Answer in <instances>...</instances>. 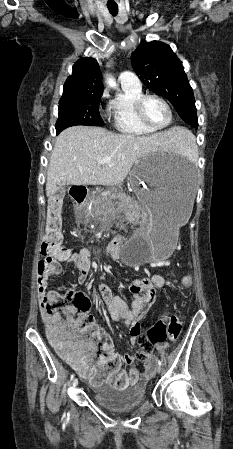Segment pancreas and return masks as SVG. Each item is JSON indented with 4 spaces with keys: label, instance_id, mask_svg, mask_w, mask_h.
Wrapping results in <instances>:
<instances>
[{
    "label": "pancreas",
    "instance_id": "obj_1",
    "mask_svg": "<svg viewBox=\"0 0 233 449\" xmlns=\"http://www.w3.org/2000/svg\"><path fill=\"white\" fill-rule=\"evenodd\" d=\"M124 197L126 198L125 195ZM112 198H115V196L107 195L98 197L92 205L91 216H103L104 218L114 217L117 210L114 208V204L111 201ZM132 220L135 222L144 223L147 220V213L140 209H134L132 213Z\"/></svg>",
    "mask_w": 233,
    "mask_h": 449
}]
</instances>
